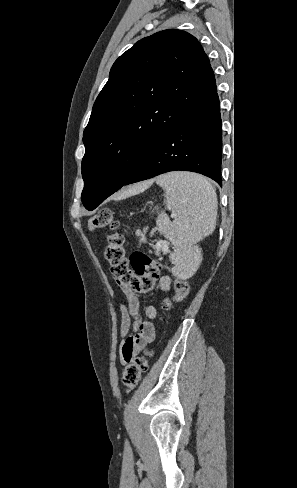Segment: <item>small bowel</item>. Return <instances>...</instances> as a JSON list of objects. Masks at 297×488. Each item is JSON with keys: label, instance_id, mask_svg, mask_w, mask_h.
<instances>
[{"label": "small bowel", "instance_id": "obj_1", "mask_svg": "<svg viewBox=\"0 0 297 488\" xmlns=\"http://www.w3.org/2000/svg\"><path fill=\"white\" fill-rule=\"evenodd\" d=\"M121 288L125 302L119 305L121 361L130 363L144 346L153 341L155 337L154 320L157 309L153 305L143 306L141 293L128 285L117 281ZM172 279L163 275L158 281V289L168 295L171 292Z\"/></svg>", "mask_w": 297, "mask_h": 488}]
</instances>
